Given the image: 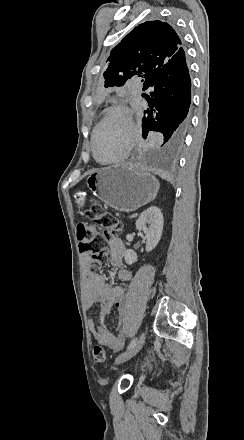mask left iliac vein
Returning <instances> with one entry per match:
<instances>
[{"label": "left iliac vein", "instance_id": "4c4485c4", "mask_svg": "<svg viewBox=\"0 0 244 440\" xmlns=\"http://www.w3.org/2000/svg\"><path fill=\"white\" fill-rule=\"evenodd\" d=\"M144 340H145V334L142 333L139 340L135 343V345L133 347L127 349L123 353H121L116 358V362L123 363V362L129 360L130 358H132L134 355H136L142 349L143 344H144Z\"/></svg>", "mask_w": 244, "mask_h": 440}]
</instances>
